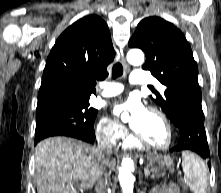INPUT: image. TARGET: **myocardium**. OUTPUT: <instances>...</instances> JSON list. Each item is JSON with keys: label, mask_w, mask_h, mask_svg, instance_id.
Here are the masks:
<instances>
[{"label": "myocardium", "mask_w": 221, "mask_h": 193, "mask_svg": "<svg viewBox=\"0 0 221 193\" xmlns=\"http://www.w3.org/2000/svg\"><path fill=\"white\" fill-rule=\"evenodd\" d=\"M148 111H151L153 113H155L156 115H158L161 120L163 121L165 127H166V130H167V134H168V138H167V141L165 144L163 145H155L151 142H149L144 135L140 134L139 132H137L136 130H134V134L138 137V139L140 140V142L142 144H144L145 146L149 147V148H152V149H156V150H166L168 149L172 142H173V138H174V134H173V128H172V125H171V122L170 120L168 119V117L166 116V114L161 111L160 109H158L157 107H154V106H150L148 108Z\"/></svg>", "instance_id": "f54148a6"}]
</instances>
